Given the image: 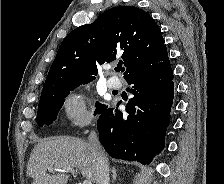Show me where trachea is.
<instances>
[{
	"label": "trachea",
	"instance_id": "3493384b",
	"mask_svg": "<svg viewBox=\"0 0 224 184\" xmlns=\"http://www.w3.org/2000/svg\"><path fill=\"white\" fill-rule=\"evenodd\" d=\"M115 71L117 72H123L124 71V67H122V65H118L116 68H115Z\"/></svg>",
	"mask_w": 224,
	"mask_h": 184
}]
</instances>
